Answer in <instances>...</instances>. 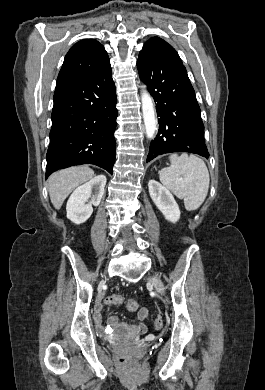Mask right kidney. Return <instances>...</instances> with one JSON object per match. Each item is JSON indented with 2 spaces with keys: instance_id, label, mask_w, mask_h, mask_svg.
<instances>
[{
  "instance_id": "ca27d5eb",
  "label": "right kidney",
  "mask_w": 265,
  "mask_h": 390,
  "mask_svg": "<svg viewBox=\"0 0 265 390\" xmlns=\"http://www.w3.org/2000/svg\"><path fill=\"white\" fill-rule=\"evenodd\" d=\"M105 185L106 177L98 175L76 188L66 205L67 218L75 224L86 222L93 212L92 205L98 206L100 204ZM92 190H94V194H92ZM89 198H91L90 202H88Z\"/></svg>"
}]
</instances>
